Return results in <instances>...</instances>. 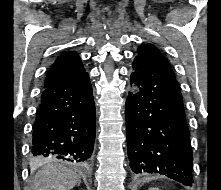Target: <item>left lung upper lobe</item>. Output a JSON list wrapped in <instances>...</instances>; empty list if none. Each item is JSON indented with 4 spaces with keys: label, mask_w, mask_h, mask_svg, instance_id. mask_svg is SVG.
<instances>
[{
    "label": "left lung upper lobe",
    "mask_w": 221,
    "mask_h": 190,
    "mask_svg": "<svg viewBox=\"0 0 221 190\" xmlns=\"http://www.w3.org/2000/svg\"><path fill=\"white\" fill-rule=\"evenodd\" d=\"M138 57L148 59L174 75V72L163 54L152 44H142L138 48ZM175 76V75H174Z\"/></svg>",
    "instance_id": "left-lung-upper-lobe-1"
}]
</instances>
